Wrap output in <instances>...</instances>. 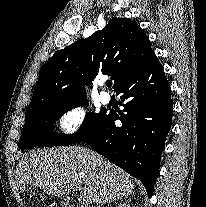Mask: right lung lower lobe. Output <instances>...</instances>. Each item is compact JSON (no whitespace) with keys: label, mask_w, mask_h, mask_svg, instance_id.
Segmentation results:
<instances>
[{"label":"right lung lower lobe","mask_w":206,"mask_h":207,"mask_svg":"<svg viewBox=\"0 0 206 207\" xmlns=\"http://www.w3.org/2000/svg\"><path fill=\"white\" fill-rule=\"evenodd\" d=\"M115 92L126 113L110 110L81 141L140 180L151 197L173 112L170 86L156 55Z\"/></svg>","instance_id":"right-lung-lower-lobe-1"}]
</instances>
